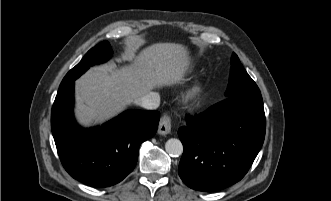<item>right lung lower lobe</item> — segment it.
I'll return each mask as SVG.
<instances>
[{
    "label": "right lung lower lobe",
    "instance_id": "1",
    "mask_svg": "<svg viewBox=\"0 0 331 201\" xmlns=\"http://www.w3.org/2000/svg\"><path fill=\"white\" fill-rule=\"evenodd\" d=\"M74 81L60 87L51 128L60 160L76 180L94 187L122 181L134 169L142 142L157 131L158 111L128 110L102 125L82 129L73 117Z\"/></svg>",
    "mask_w": 331,
    "mask_h": 201
}]
</instances>
